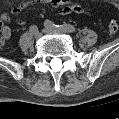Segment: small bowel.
I'll return each mask as SVG.
<instances>
[{
  "label": "small bowel",
  "mask_w": 119,
  "mask_h": 119,
  "mask_svg": "<svg viewBox=\"0 0 119 119\" xmlns=\"http://www.w3.org/2000/svg\"><path fill=\"white\" fill-rule=\"evenodd\" d=\"M42 3H47V4H51L52 6L54 7H57V8H60L61 9V12L63 14H80V13H83L84 12V8L79 5V4H72L70 3L68 0H43L41 1ZM29 5L28 2H23V3H20L18 4L17 6H15L13 9H12V14L13 15H17L19 14L20 12H22L27 6ZM1 19L5 22V23H8L11 21V16L9 14H3L1 16ZM18 24L19 25H23L24 24V21L22 20H19L18 21ZM3 31H4V37L5 38H9L10 35H11V31H10V28L5 26L3 28Z\"/></svg>",
  "instance_id": "1"
}]
</instances>
